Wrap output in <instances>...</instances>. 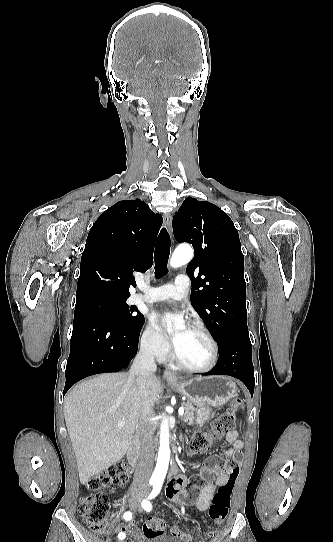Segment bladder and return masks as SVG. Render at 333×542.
Returning <instances> with one entry per match:
<instances>
[{"label": "bladder", "mask_w": 333, "mask_h": 542, "mask_svg": "<svg viewBox=\"0 0 333 542\" xmlns=\"http://www.w3.org/2000/svg\"><path fill=\"white\" fill-rule=\"evenodd\" d=\"M147 542H180L177 539H175L172 535H157L155 537H151L148 539Z\"/></svg>", "instance_id": "bladder-1"}]
</instances>
